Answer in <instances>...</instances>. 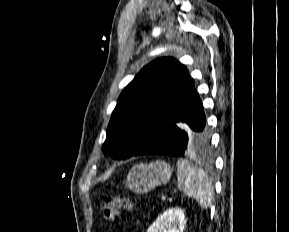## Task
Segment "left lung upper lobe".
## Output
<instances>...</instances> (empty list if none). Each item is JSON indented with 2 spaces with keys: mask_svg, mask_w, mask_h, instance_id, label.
Here are the masks:
<instances>
[{
  "mask_svg": "<svg viewBox=\"0 0 289 232\" xmlns=\"http://www.w3.org/2000/svg\"><path fill=\"white\" fill-rule=\"evenodd\" d=\"M192 89L187 68L175 59L146 65L121 93L103 150L114 159L131 157L170 121Z\"/></svg>",
  "mask_w": 289,
  "mask_h": 232,
  "instance_id": "5c2ea615",
  "label": "left lung upper lobe"
}]
</instances>
